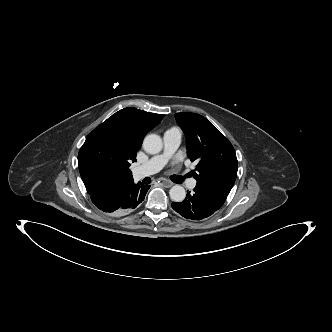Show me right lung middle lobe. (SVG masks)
Segmentation results:
<instances>
[{
    "label": "right lung middle lobe",
    "mask_w": 332,
    "mask_h": 332,
    "mask_svg": "<svg viewBox=\"0 0 332 332\" xmlns=\"http://www.w3.org/2000/svg\"><path fill=\"white\" fill-rule=\"evenodd\" d=\"M134 162L127 131L118 120H106L86 138L78 154L79 168L96 179L119 180Z\"/></svg>",
    "instance_id": "obj_1"
}]
</instances>
